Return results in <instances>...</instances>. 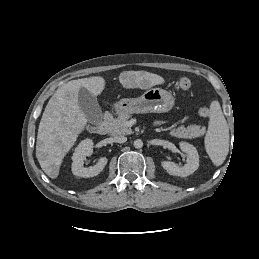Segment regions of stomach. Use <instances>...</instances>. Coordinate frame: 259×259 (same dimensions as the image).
Listing matches in <instances>:
<instances>
[{"label": "stomach", "instance_id": "1", "mask_svg": "<svg viewBox=\"0 0 259 259\" xmlns=\"http://www.w3.org/2000/svg\"><path fill=\"white\" fill-rule=\"evenodd\" d=\"M175 104L174 96L161 88H149L140 97L123 98L114 104L117 114L166 113Z\"/></svg>", "mask_w": 259, "mask_h": 259}]
</instances>
